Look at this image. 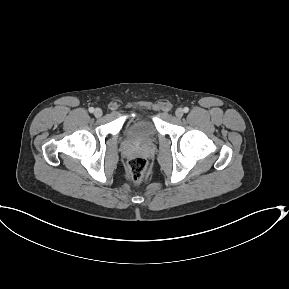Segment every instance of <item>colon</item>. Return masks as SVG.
I'll return each mask as SVG.
<instances>
[{
    "mask_svg": "<svg viewBox=\"0 0 289 289\" xmlns=\"http://www.w3.org/2000/svg\"><path fill=\"white\" fill-rule=\"evenodd\" d=\"M127 168L131 179L139 182L147 170V161L140 156L132 157L127 162Z\"/></svg>",
    "mask_w": 289,
    "mask_h": 289,
    "instance_id": "colon-1",
    "label": "colon"
}]
</instances>
